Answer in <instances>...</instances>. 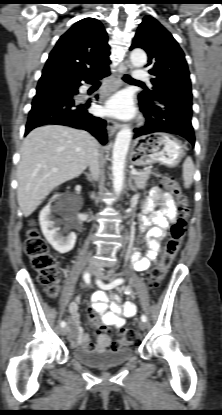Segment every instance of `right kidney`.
<instances>
[{
	"mask_svg": "<svg viewBox=\"0 0 222 415\" xmlns=\"http://www.w3.org/2000/svg\"><path fill=\"white\" fill-rule=\"evenodd\" d=\"M59 195H54L53 199ZM61 210V205L51 206L48 204L45 206L39 215V221L42 233L46 240L51 244V246L58 251L59 253H67L74 248L76 243V234L74 232L69 233L67 236H63L57 227H55V222L52 220L53 212H59Z\"/></svg>",
	"mask_w": 222,
	"mask_h": 415,
	"instance_id": "ca27d5eb",
	"label": "right kidney"
}]
</instances>
